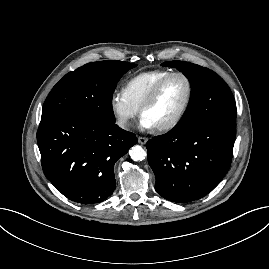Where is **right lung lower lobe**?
<instances>
[{"mask_svg":"<svg viewBox=\"0 0 269 269\" xmlns=\"http://www.w3.org/2000/svg\"><path fill=\"white\" fill-rule=\"evenodd\" d=\"M37 142L45 176L56 189L76 203L95 204L113 193L115 162L137 138L115 123L56 113L41 118Z\"/></svg>","mask_w":269,"mask_h":269,"instance_id":"1","label":"right lung lower lobe"}]
</instances>
